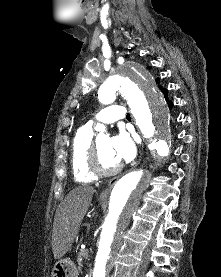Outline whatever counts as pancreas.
Here are the masks:
<instances>
[{
    "instance_id": "pancreas-1",
    "label": "pancreas",
    "mask_w": 221,
    "mask_h": 277,
    "mask_svg": "<svg viewBox=\"0 0 221 277\" xmlns=\"http://www.w3.org/2000/svg\"><path fill=\"white\" fill-rule=\"evenodd\" d=\"M87 256H88V250L87 249L80 250V252L78 254V258H77L79 268L82 267L83 258H87Z\"/></svg>"
}]
</instances>
